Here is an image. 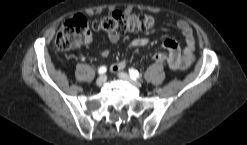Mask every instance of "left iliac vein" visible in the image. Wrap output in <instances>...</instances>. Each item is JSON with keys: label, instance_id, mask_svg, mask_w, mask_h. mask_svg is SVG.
I'll list each match as a JSON object with an SVG mask.
<instances>
[{"label": "left iliac vein", "instance_id": "obj_1", "mask_svg": "<svg viewBox=\"0 0 247 145\" xmlns=\"http://www.w3.org/2000/svg\"><path fill=\"white\" fill-rule=\"evenodd\" d=\"M118 77L121 78L122 80H125L127 82H129L131 85L135 86V87H140L141 84L140 82L133 80L127 73L125 72H119L118 73Z\"/></svg>", "mask_w": 247, "mask_h": 145}]
</instances>
